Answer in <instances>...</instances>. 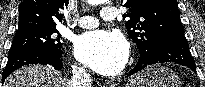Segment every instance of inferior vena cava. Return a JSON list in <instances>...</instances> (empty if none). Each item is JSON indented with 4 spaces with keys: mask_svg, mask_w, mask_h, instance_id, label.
Segmentation results:
<instances>
[{
    "mask_svg": "<svg viewBox=\"0 0 205 87\" xmlns=\"http://www.w3.org/2000/svg\"><path fill=\"white\" fill-rule=\"evenodd\" d=\"M73 77L68 83L69 87H91L92 79L84 67H72Z\"/></svg>",
    "mask_w": 205,
    "mask_h": 87,
    "instance_id": "1",
    "label": "inferior vena cava"
}]
</instances>
